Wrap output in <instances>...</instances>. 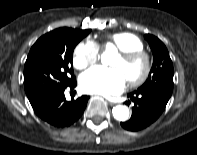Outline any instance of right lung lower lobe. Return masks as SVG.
<instances>
[{
	"label": "right lung lower lobe",
	"instance_id": "right-lung-lower-lobe-1",
	"mask_svg": "<svg viewBox=\"0 0 197 155\" xmlns=\"http://www.w3.org/2000/svg\"><path fill=\"white\" fill-rule=\"evenodd\" d=\"M76 79L67 87L74 89ZM50 92L32 103L34 112L44 121L57 128H64L77 121L84 112L89 96H82L76 100L66 101L64 91L67 88Z\"/></svg>",
	"mask_w": 197,
	"mask_h": 155
}]
</instances>
